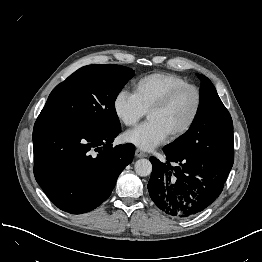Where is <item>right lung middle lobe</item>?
<instances>
[{
  "mask_svg": "<svg viewBox=\"0 0 262 262\" xmlns=\"http://www.w3.org/2000/svg\"><path fill=\"white\" fill-rule=\"evenodd\" d=\"M133 76V69L120 65L84 66L53 89L40 115L68 118L95 130L119 129L115 100Z\"/></svg>",
  "mask_w": 262,
  "mask_h": 262,
  "instance_id": "right-lung-middle-lobe-1",
  "label": "right lung middle lobe"
}]
</instances>
